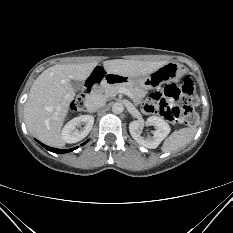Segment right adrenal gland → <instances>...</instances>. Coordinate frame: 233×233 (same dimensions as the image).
<instances>
[{
	"instance_id": "obj_1",
	"label": "right adrenal gland",
	"mask_w": 233,
	"mask_h": 233,
	"mask_svg": "<svg viewBox=\"0 0 233 233\" xmlns=\"http://www.w3.org/2000/svg\"><path fill=\"white\" fill-rule=\"evenodd\" d=\"M83 111L88 112V113H91V114H93V113L96 112V111H90V110H83Z\"/></svg>"
}]
</instances>
